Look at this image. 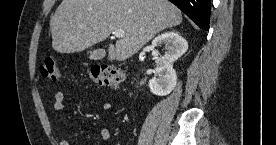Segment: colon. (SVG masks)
<instances>
[{"label": "colon", "instance_id": "colon-1", "mask_svg": "<svg viewBox=\"0 0 276 145\" xmlns=\"http://www.w3.org/2000/svg\"><path fill=\"white\" fill-rule=\"evenodd\" d=\"M43 79L58 81L60 72L55 58H46L39 69ZM89 78L96 84L102 86H118L125 80L124 73L114 67L106 65H94L89 71Z\"/></svg>", "mask_w": 276, "mask_h": 145}]
</instances>
